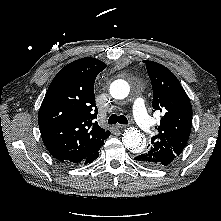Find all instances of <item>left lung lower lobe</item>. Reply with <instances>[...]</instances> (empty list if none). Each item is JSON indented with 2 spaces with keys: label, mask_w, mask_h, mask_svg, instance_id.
Segmentation results:
<instances>
[{
  "label": "left lung lower lobe",
  "mask_w": 221,
  "mask_h": 221,
  "mask_svg": "<svg viewBox=\"0 0 221 221\" xmlns=\"http://www.w3.org/2000/svg\"><path fill=\"white\" fill-rule=\"evenodd\" d=\"M135 160L138 161L139 163L145 165V166H149V167H155V165L151 164L145 157H143L142 155H138L137 157H135Z\"/></svg>",
  "instance_id": "1"
}]
</instances>
